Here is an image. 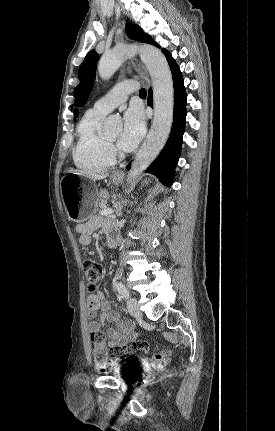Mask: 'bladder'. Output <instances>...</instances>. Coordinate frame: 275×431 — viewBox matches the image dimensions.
Instances as JSON below:
<instances>
[{
  "mask_svg": "<svg viewBox=\"0 0 275 431\" xmlns=\"http://www.w3.org/2000/svg\"><path fill=\"white\" fill-rule=\"evenodd\" d=\"M116 376H119V377H123V374H122V372H120V373H114Z\"/></svg>",
  "mask_w": 275,
  "mask_h": 431,
  "instance_id": "obj_1",
  "label": "bladder"
}]
</instances>
